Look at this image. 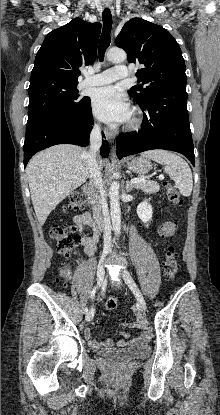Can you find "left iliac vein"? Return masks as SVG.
Wrapping results in <instances>:
<instances>
[{"instance_id": "1", "label": "left iliac vein", "mask_w": 220, "mask_h": 415, "mask_svg": "<svg viewBox=\"0 0 220 415\" xmlns=\"http://www.w3.org/2000/svg\"><path fill=\"white\" fill-rule=\"evenodd\" d=\"M121 275H122L123 279L125 280V282L127 283L128 287L131 289V291L135 295V297L137 299V302H138V305L145 312L147 310L146 301H145L141 291L139 290L137 284L135 283L134 279L132 278V276L130 275V273L126 269H123L121 271Z\"/></svg>"}]
</instances>
